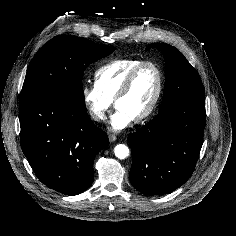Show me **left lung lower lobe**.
<instances>
[{
	"instance_id": "0a47b994",
	"label": "left lung lower lobe",
	"mask_w": 236,
	"mask_h": 236,
	"mask_svg": "<svg viewBox=\"0 0 236 236\" xmlns=\"http://www.w3.org/2000/svg\"><path fill=\"white\" fill-rule=\"evenodd\" d=\"M205 99L176 102L129 135L131 184L147 195L167 194L192 175L203 143Z\"/></svg>"
}]
</instances>
